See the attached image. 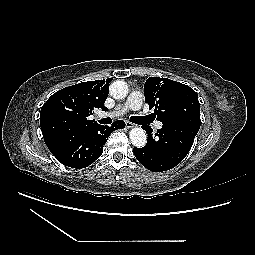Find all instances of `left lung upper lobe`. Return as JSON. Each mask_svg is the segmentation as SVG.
Returning a JSON list of instances; mask_svg holds the SVG:
<instances>
[{
    "label": "left lung upper lobe",
    "instance_id": "left-lung-upper-lobe-1",
    "mask_svg": "<svg viewBox=\"0 0 255 255\" xmlns=\"http://www.w3.org/2000/svg\"><path fill=\"white\" fill-rule=\"evenodd\" d=\"M145 102L157 120L166 124L199 125L198 94L188 85L168 78L149 77L144 85Z\"/></svg>",
    "mask_w": 255,
    "mask_h": 255
}]
</instances>
